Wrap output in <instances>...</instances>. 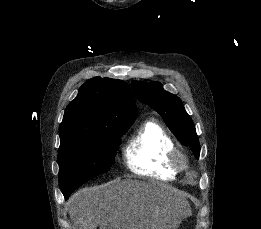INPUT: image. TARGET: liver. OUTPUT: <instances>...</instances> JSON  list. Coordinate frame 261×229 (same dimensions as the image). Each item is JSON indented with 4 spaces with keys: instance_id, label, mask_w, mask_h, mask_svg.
I'll return each mask as SVG.
<instances>
[{
    "instance_id": "obj_1",
    "label": "liver",
    "mask_w": 261,
    "mask_h": 229,
    "mask_svg": "<svg viewBox=\"0 0 261 229\" xmlns=\"http://www.w3.org/2000/svg\"><path fill=\"white\" fill-rule=\"evenodd\" d=\"M164 189L131 179L86 187L70 197L68 213L78 229H161L167 223L158 207ZM178 195V203L187 205Z\"/></svg>"
}]
</instances>
